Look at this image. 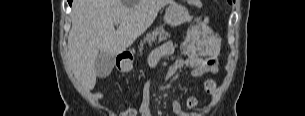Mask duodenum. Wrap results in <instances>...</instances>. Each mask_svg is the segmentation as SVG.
<instances>
[{
    "instance_id": "410a0bca",
    "label": "duodenum",
    "mask_w": 305,
    "mask_h": 116,
    "mask_svg": "<svg viewBox=\"0 0 305 116\" xmlns=\"http://www.w3.org/2000/svg\"><path fill=\"white\" fill-rule=\"evenodd\" d=\"M131 57L130 53L128 52H122L118 55L117 60L119 63H123L127 61Z\"/></svg>"
}]
</instances>
